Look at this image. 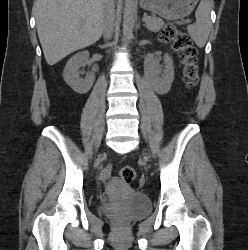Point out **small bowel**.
Returning a JSON list of instances; mask_svg holds the SVG:
<instances>
[{
    "mask_svg": "<svg viewBox=\"0 0 248 250\" xmlns=\"http://www.w3.org/2000/svg\"><path fill=\"white\" fill-rule=\"evenodd\" d=\"M104 176H108V170H104Z\"/></svg>",
    "mask_w": 248,
    "mask_h": 250,
    "instance_id": "c3829d8e",
    "label": "small bowel"
}]
</instances>
